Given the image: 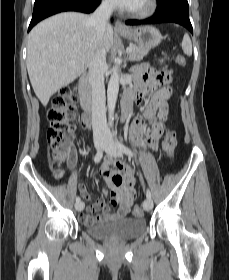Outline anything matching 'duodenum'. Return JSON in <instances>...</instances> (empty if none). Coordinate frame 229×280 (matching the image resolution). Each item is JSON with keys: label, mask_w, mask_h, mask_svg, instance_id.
I'll use <instances>...</instances> for the list:
<instances>
[{"label": "duodenum", "mask_w": 229, "mask_h": 280, "mask_svg": "<svg viewBox=\"0 0 229 280\" xmlns=\"http://www.w3.org/2000/svg\"><path fill=\"white\" fill-rule=\"evenodd\" d=\"M80 105L86 113L85 123H89V112L92 107V85L87 73L82 74L79 86ZM133 94H125L122 98L123 118L126 119L131 111Z\"/></svg>", "instance_id": "1"}]
</instances>
